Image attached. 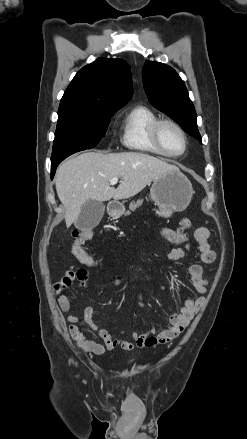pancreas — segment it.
Wrapping results in <instances>:
<instances>
[{
    "label": "pancreas",
    "instance_id": "1",
    "mask_svg": "<svg viewBox=\"0 0 247 439\" xmlns=\"http://www.w3.org/2000/svg\"><path fill=\"white\" fill-rule=\"evenodd\" d=\"M143 200H137V202L132 201L129 205V210L125 212V215H129L131 211H135L138 207L142 206Z\"/></svg>",
    "mask_w": 247,
    "mask_h": 439
}]
</instances>
